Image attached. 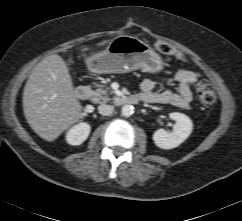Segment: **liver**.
Listing matches in <instances>:
<instances>
[{"instance_id": "liver-1", "label": "liver", "mask_w": 242, "mask_h": 221, "mask_svg": "<svg viewBox=\"0 0 242 221\" xmlns=\"http://www.w3.org/2000/svg\"><path fill=\"white\" fill-rule=\"evenodd\" d=\"M107 43L105 40L97 46ZM23 110L33 131L49 142L81 118L82 106L68 67L58 54L45 57L32 70L24 87Z\"/></svg>"}]
</instances>
